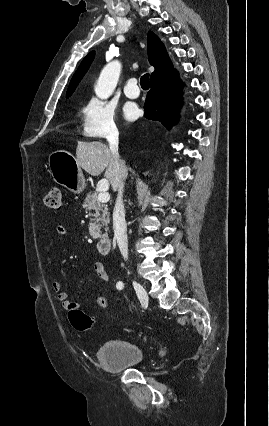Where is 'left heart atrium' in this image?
<instances>
[{"label": "left heart atrium", "instance_id": "1", "mask_svg": "<svg viewBox=\"0 0 269 426\" xmlns=\"http://www.w3.org/2000/svg\"><path fill=\"white\" fill-rule=\"evenodd\" d=\"M139 114V109L136 104L129 102L123 108V115L127 120L135 119Z\"/></svg>", "mask_w": 269, "mask_h": 426}]
</instances>
